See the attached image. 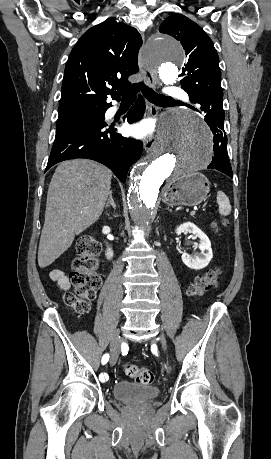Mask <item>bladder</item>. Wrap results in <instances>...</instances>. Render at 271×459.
I'll return each mask as SVG.
<instances>
[{"instance_id": "bladder-1", "label": "bladder", "mask_w": 271, "mask_h": 459, "mask_svg": "<svg viewBox=\"0 0 271 459\" xmlns=\"http://www.w3.org/2000/svg\"><path fill=\"white\" fill-rule=\"evenodd\" d=\"M159 394V387L131 381L117 382L113 387V396L121 401H132L135 399L151 400L159 396Z\"/></svg>"}]
</instances>
